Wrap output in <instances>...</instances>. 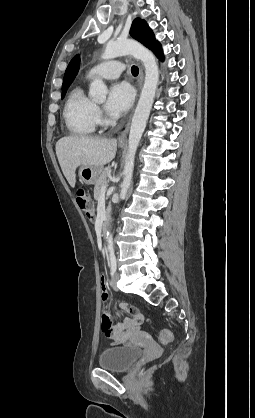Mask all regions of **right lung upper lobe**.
<instances>
[{
    "instance_id": "cb5924a9",
    "label": "right lung upper lobe",
    "mask_w": 255,
    "mask_h": 418,
    "mask_svg": "<svg viewBox=\"0 0 255 418\" xmlns=\"http://www.w3.org/2000/svg\"><path fill=\"white\" fill-rule=\"evenodd\" d=\"M79 64H80V57H79V55H76L70 61L69 65L66 69L64 79H63V84H62V90L68 88L69 85L74 80V78L77 75L78 70H79Z\"/></svg>"
}]
</instances>
